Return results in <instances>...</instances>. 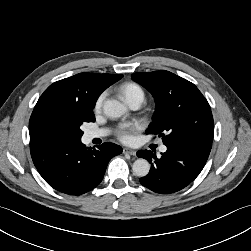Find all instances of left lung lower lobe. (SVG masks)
<instances>
[{
	"label": "left lung lower lobe",
	"instance_id": "obj_1",
	"mask_svg": "<svg viewBox=\"0 0 251 251\" xmlns=\"http://www.w3.org/2000/svg\"><path fill=\"white\" fill-rule=\"evenodd\" d=\"M167 151L157 158L152 151L140 150L137 156L151 163L150 173L140 183L150 190L170 194L188 186L202 171L212 142L194 140L188 144L166 145Z\"/></svg>",
	"mask_w": 251,
	"mask_h": 251
}]
</instances>
